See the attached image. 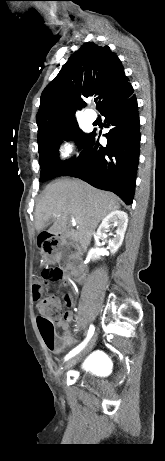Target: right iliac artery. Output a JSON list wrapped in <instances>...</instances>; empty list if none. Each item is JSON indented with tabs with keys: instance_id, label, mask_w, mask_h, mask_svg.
<instances>
[{
	"instance_id": "1",
	"label": "right iliac artery",
	"mask_w": 165,
	"mask_h": 461,
	"mask_svg": "<svg viewBox=\"0 0 165 461\" xmlns=\"http://www.w3.org/2000/svg\"><path fill=\"white\" fill-rule=\"evenodd\" d=\"M94 333V326H90L89 328V331H88V336L86 338V340L81 343L79 346H77L75 349H73L67 356H66V360H68L69 358L73 357L74 355H76L79 351H81L83 349V347L86 345L87 341L90 339V337L93 335Z\"/></svg>"
}]
</instances>
